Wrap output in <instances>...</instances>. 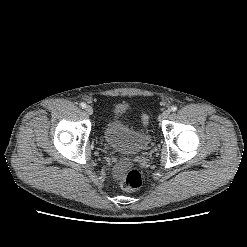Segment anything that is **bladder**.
Listing matches in <instances>:
<instances>
[{"mask_svg":"<svg viewBox=\"0 0 247 247\" xmlns=\"http://www.w3.org/2000/svg\"><path fill=\"white\" fill-rule=\"evenodd\" d=\"M126 105H116L104 124L102 137L111 148L128 155H133L146 150L152 140L148 130L130 128L124 121Z\"/></svg>","mask_w":247,"mask_h":247,"instance_id":"31cf9c89","label":"bladder"}]
</instances>
